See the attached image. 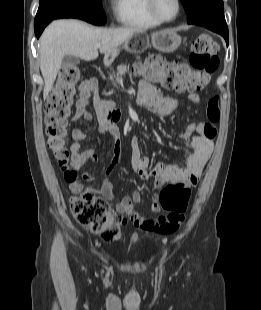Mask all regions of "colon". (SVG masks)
<instances>
[{"instance_id":"1","label":"colon","mask_w":261,"mask_h":310,"mask_svg":"<svg viewBox=\"0 0 261 310\" xmlns=\"http://www.w3.org/2000/svg\"><path fill=\"white\" fill-rule=\"evenodd\" d=\"M217 51L218 45L214 39L208 34H201L193 43L189 65L151 55L137 68L146 78L159 82L166 89L176 92L199 91L208 84L209 75L218 67ZM79 78L80 71L76 66H63L46 105L47 146L68 183H78L77 173L68 168L70 151L66 137ZM206 116L207 121L199 123L197 129L203 136L213 139L216 135L214 124L220 118L217 97L208 101ZM193 186V183L178 181L164 188L155 203L168 214L145 223L143 227L163 235L178 231L185 221ZM70 209L77 223L84 229L101 236L107 242L120 239L121 227L126 223V218L112 213L104 198L91 191H82L71 197Z\"/></svg>"}]
</instances>
